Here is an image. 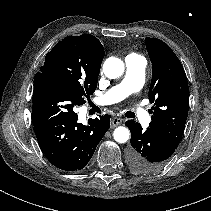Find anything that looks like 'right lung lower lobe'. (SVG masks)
Returning <instances> with one entry per match:
<instances>
[{
	"label": "right lung lower lobe",
	"instance_id": "obj_1",
	"mask_svg": "<svg viewBox=\"0 0 211 211\" xmlns=\"http://www.w3.org/2000/svg\"><path fill=\"white\" fill-rule=\"evenodd\" d=\"M85 103L70 87L44 76H35L32 121L46 158L59 169L84 168L110 128V115L77 122L74 108Z\"/></svg>",
	"mask_w": 211,
	"mask_h": 211
}]
</instances>
